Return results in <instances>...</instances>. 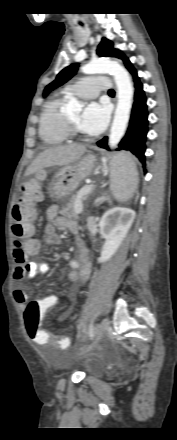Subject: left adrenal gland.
Here are the masks:
<instances>
[{"instance_id": "obj_1", "label": "left adrenal gland", "mask_w": 177, "mask_h": 440, "mask_svg": "<svg viewBox=\"0 0 177 440\" xmlns=\"http://www.w3.org/2000/svg\"><path fill=\"white\" fill-rule=\"evenodd\" d=\"M104 201L111 202V198H110V197H107V198L104 199Z\"/></svg>"}]
</instances>
